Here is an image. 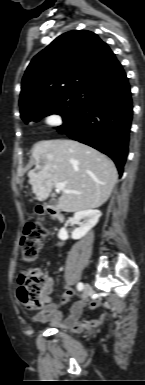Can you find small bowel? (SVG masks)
Here are the masks:
<instances>
[{
	"label": "small bowel",
	"instance_id": "c3829d8e",
	"mask_svg": "<svg viewBox=\"0 0 145 385\" xmlns=\"http://www.w3.org/2000/svg\"><path fill=\"white\" fill-rule=\"evenodd\" d=\"M48 287L44 295V306L41 310L33 316V320L37 322H53L60 323L66 330L71 333H78L84 330L93 332L96 328L102 325L104 318L87 319L85 312L87 309H93L100 305V301L94 299L87 302L82 297L79 298L71 307L70 315L62 321L63 314L61 307L66 305L70 299L75 295L71 289L66 290L58 300L54 301L50 294L53 289L54 281L51 277L46 278Z\"/></svg>",
	"mask_w": 145,
	"mask_h": 385
}]
</instances>
